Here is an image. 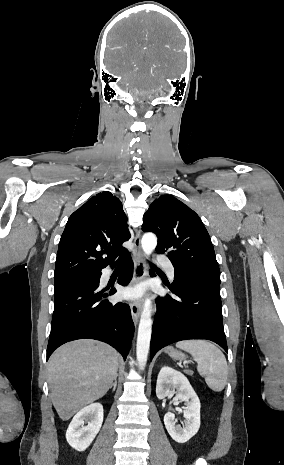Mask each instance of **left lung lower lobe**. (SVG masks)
<instances>
[{
  "instance_id": "obj_1",
  "label": "left lung lower lobe",
  "mask_w": 284,
  "mask_h": 465,
  "mask_svg": "<svg viewBox=\"0 0 284 465\" xmlns=\"http://www.w3.org/2000/svg\"><path fill=\"white\" fill-rule=\"evenodd\" d=\"M175 298L158 297L150 347V360L161 348L187 339H207L228 352L222 321L220 285L186 274H176L172 286Z\"/></svg>"
}]
</instances>
